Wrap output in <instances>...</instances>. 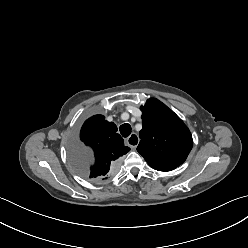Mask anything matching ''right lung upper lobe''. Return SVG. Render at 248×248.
I'll return each mask as SVG.
<instances>
[{"label": "right lung upper lobe", "instance_id": "1", "mask_svg": "<svg viewBox=\"0 0 248 248\" xmlns=\"http://www.w3.org/2000/svg\"><path fill=\"white\" fill-rule=\"evenodd\" d=\"M116 132V125L102 115L87 119L81 128L80 139L91 155L86 177L92 181L106 177L120 157L130 151Z\"/></svg>", "mask_w": 248, "mask_h": 248}]
</instances>
